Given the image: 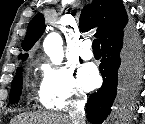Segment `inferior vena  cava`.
<instances>
[{
    "label": "inferior vena cava",
    "mask_w": 145,
    "mask_h": 124,
    "mask_svg": "<svg viewBox=\"0 0 145 124\" xmlns=\"http://www.w3.org/2000/svg\"><path fill=\"white\" fill-rule=\"evenodd\" d=\"M85 101L74 102L75 110L70 113V119L72 124H85V111H84Z\"/></svg>",
    "instance_id": "602c4592"
}]
</instances>
